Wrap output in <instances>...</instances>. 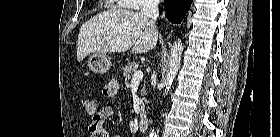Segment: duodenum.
Listing matches in <instances>:
<instances>
[{"label": "duodenum", "instance_id": "410a0bca", "mask_svg": "<svg viewBox=\"0 0 280 137\" xmlns=\"http://www.w3.org/2000/svg\"><path fill=\"white\" fill-rule=\"evenodd\" d=\"M149 119L144 117V118H141L140 121H139V129L140 131L142 132H147L149 130Z\"/></svg>", "mask_w": 280, "mask_h": 137}]
</instances>
